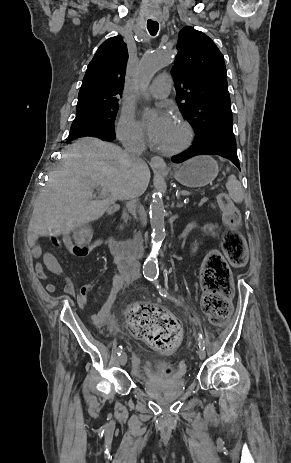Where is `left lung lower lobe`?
Segmentation results:
<instances>
[{"label":"left lung lower lobe","instance_id":"0a47b994","mask_svg":"<svg viewBox=\"0 0 291 463\" xmlns=\"http://www.w3.org/2000/svg\"><path fill=\"white\" fill-rule=\"evenodd\" d=\"M219 155L233 162L240 170L239 160L237 156L236 145L211 141L208 139L195 138L193 145L184 153L174 156L173 162L181 163L187 159L198 155Z\"/></svg>","mask_w":291,"mask_h":463}]
</instances>
